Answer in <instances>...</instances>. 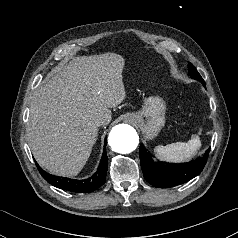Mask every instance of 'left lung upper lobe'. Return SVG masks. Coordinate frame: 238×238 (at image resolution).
Segmentation results:
<instances>
[{
	"mask_svg": "<svg viewBox=\"0 0 238 238\" xmlns=\"http://www.w3.org/2000/svg\"><path fill=\"white\" fill-rule=\"evenodd\" d=\"M188 68L191 78L200 81L203 84V86H205V82L202 79L201 75L198 73V71L194 68V66L191 63H189Z\"/></svg>",
	"mask_w": 238,
	"mask_h": 238,
	"instance_id": "left-lung-upper-lobe-1",
	"label": "left lung upper lobe"
}]
</instances>
